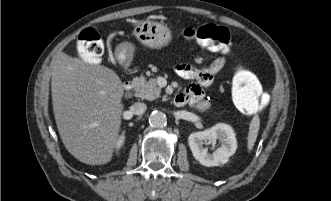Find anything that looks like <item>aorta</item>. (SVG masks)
Masks as SVG:
<instances>
[{
    "label": "aorta",
    "mask_w": 331,
    "mask_h": 201,
    "mask_svg": "<svg viewBox=\"0 0 331 201\" xmlns=\"http://www.w3.org/2000/svg\"><path fill=\"white\" fill-rule=\"evenodd\" d=\"M149 123L154 128H163L167 124V117L161 111H153L149 116Z\"/></svg>",
    "instance_id": "aorta-1"
}]
</instances>
